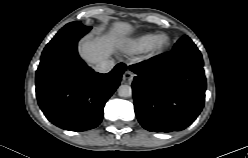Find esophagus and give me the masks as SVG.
Returning <instances> with one entry per match:
<instances>
[{"label": "esophagus", "mask_w": 248, "mask_h": 158, "mask_svg": "<svg viewBox=\"0 0 248 158\" xmlns=\"http://www.w3.org/2000/svg\"><path fill=\"white\" fill-rule=\"evenodd\" d=\"M134 73L130 70H126L122 76V80L124 83H131L133 81L134 78Z\"/></svg>", "instance_id": "1"}]
</instances>
